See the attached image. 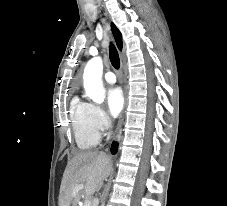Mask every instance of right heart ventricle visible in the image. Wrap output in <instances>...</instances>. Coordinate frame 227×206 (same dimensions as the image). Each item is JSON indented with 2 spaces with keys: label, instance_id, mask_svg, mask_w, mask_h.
I'll list each match as a JSON object with an SVG mask.
<instances>
[{
  "label": "right heart ventricle",
  "instance_id": "right-heart-ventricle-1",
  "mask_svg": "<svg viewBox=\"0 0 227 206\" xmlns=\"http://www.w3.org/2000/svg\"><path fill=\"white\" fill-rule=\"evenodd\" d=\"M70 119L77 146L82 150L94 148L100 139L91 120V104L74 97L70 103Z\"/></svg>",
  "mask_w": 227,
  "mask_h": 206
}]
</instances>
